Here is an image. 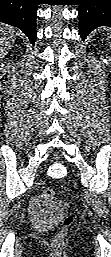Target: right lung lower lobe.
<instances>
[{
	"instance_id": "obj_1",
	"label": "right lung lower lobe",
	"mask_w": 111,
	"mask_h": 257,
	"mask_svg": "<svg viewBox=\"0 0 111 257\" xmlns=\"http://www.w3.org/2000/svg\"><path fill=\"white\" fill-rule=\"evenodd\" d=\"M36 0H0V22L19 28L36 41Z\"/></svg>"
}]
</instances>
